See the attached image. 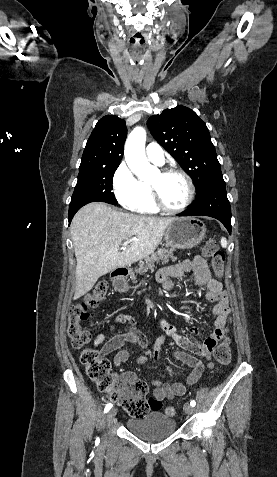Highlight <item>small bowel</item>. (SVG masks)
<instances>
[{"mask_svg": "<svg viewBox=\"0 0 277 477\" xmlns=\"http://www.w3.org/2000/svg\"><path fill=\"white\" fill-rule=\"evenodd\" d=\"M187 272L194 273V281L196 286L206 287V298L215 302L212 310L216 317L214 322V329L211 334L201 340L197 336V331L193 330L192 334L181 335L176 332L173 325L162 319L159 322L160 328L164 335L160 336L153 347L152 360L157 363L160 356L162 344L166 336H171L179 349L173 352V356L183 364L192 368L191 373L187 377L185 383L182 382H160L153 380L154 385L153 399L162 401L164 399H172L174 397L185 394L188 386L195 384L201 377L205 365L197 357V355L211 359V353L218 341L223 340L227 333V320L230 319V308L228 305V296L223 289L222 282L213 276L207 261L201 256H196L193 260H185L176 264L162 267L157 274L159 282L166 288H171L173 279L179 278ZM130 324L128 332L116 334L110 339L106 340V335L101 333L96 336L94 346H101L100 353L103 355L110 354L116 350L118 352L114 356V364L120 366L127 362L131 356L130 352L121 349L125 343H132L138 349H145L148 346L146 337L136 328L134 320L125 314L118 315L113 323L109 326V332H113L119 324ZM148 361L147 356H139L137 358L138 364H145ZM213 364L208 362L207 368L211 369ZM170 378L176 375V371L167 368ZM137 380V376L132 372H126L121 376L122 383H129Z\"/></svg>", "mask_w": 277, "mask_h": 477, "instance_id": "obj_1", "label": "small bowel"}]
</instances>
